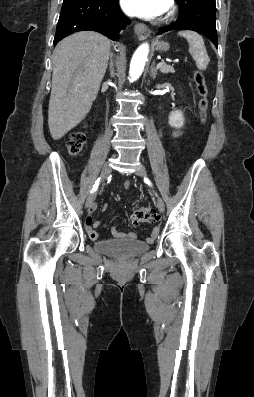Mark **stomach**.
Returning <instances> with one entry per match:
<instances>
[{"mask_svg": "<svg viewBox=\"0 0 254 397\" xmlns=\"http://www.w3.org/2000/svg\"><path fill=\"white\" fill-rule=\"evenodd\" d=\"M155 47L159 51H167L169 49V44L164 41H161V42L157 41L155 43Z\"/></svg>", "mask_w": 254, "mask_h": 397, "instance_id": "1", "label": "stomach"}]
</instances>
